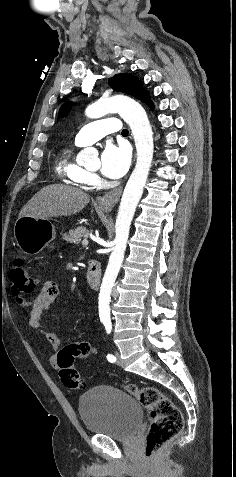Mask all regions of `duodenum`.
<instances>
[{"mask_svg":"<svg viewBox=\"0 0 236 477\" xmlns=\"http://www.w3.org/2000/svg\"><path fill=\"white\" fill-rule=\"evenodd\" d=\"M101 268L96 260H90L86 273V281L91 290L97 291L100 286Z\"/></svg>","mask_w":236,"mask_h":477,"instance_id":"duodenum-1","label":"duodenum"}]
</instances>
